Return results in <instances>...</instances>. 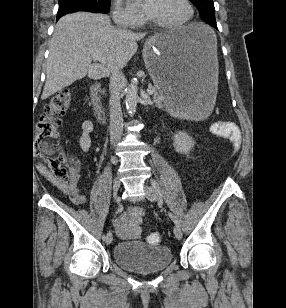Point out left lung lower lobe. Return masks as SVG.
<instances>
[{
	"label": "left lung lower lobe",
	"mask_w": 286,
	"mask_h": 308,
	"mask_svg": "<svg viewBox=\"0 0 286 308\" xmlns=\"http://www.w3.org/2000/svg\"><path fill=\"white\" fill-rule=\"evenodd\" d=\"M207 24H210L212 25L213 27H215L217 29V24H216V21L215 19H210L208 21H205Z\"/></svg>",
	"instance_id": "obj_1"
}]
</instances>
